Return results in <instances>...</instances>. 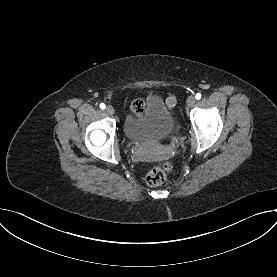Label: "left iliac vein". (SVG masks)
<instances>
[{"label":"left iliac vein","instance_id":"obj_1","mask_svg":"<svg viewBox=\"0 0 277 277\" xmlns=\"http://www.w3.org/2000/svg\"><path fill=\"white\" fill-rule=\"evenodd\" d=\"M195 102H196V99L193 95L188 96L186 101L188 107L194 106Z\"/></svg>","mask_w":277,"mask_h":277}]
</instances>
